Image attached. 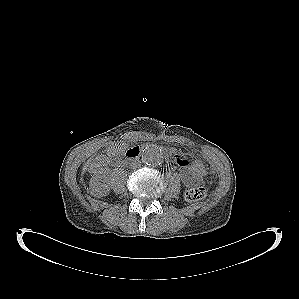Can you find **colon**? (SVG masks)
Instances as JSON below:
<instances>
[{"instance_id":"colon-1","label":"colon","mask_w":299,"mask_h":299,"mask_svg":"<svg viewBox=\"0 0 299 299\" xmlns=\"http://www.w3.org/2000/svg\"><path fill=\"white\" fill-rule=\"evenodd\" d=\"M190 168L196 183L201 182L207 176L205 165L199 160H193L190 163ZM206 197V190L201 186L189 188L185 192V199L188 202L195 203L203 200Z\"/></svg>"}]
</instances>
